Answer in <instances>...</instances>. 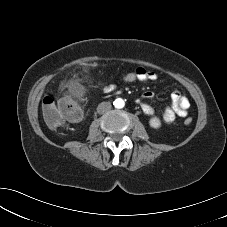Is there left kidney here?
<instances>
[{"mask_svg": "<svg viewBox=\"0 0 227 227\" xmlns=\"http://www.w3.org/2000/svg\"><path fill=\"white\" fill-rule=\"evenodd\" d=\"M149 125L152 127V128H155V129H158L160 126H161V121L158 117H152L150 120H149Z\"/></svg>", "mask_w": 227, "mask_h": 227, "instance_id": "obj_1", "label": "left kidney"}]
</instances>
